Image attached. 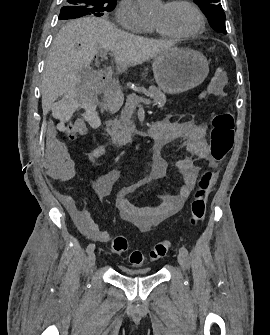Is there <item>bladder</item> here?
<instances>
[{
	"instance_id": "31cf9c89",
	"label": "bladder",
	"mask_w": 270,
	"mask_h": 335,
	"mask_svg": "<svg viewBox=\"0 0 270 335\" xmlns=\"http://www.w3.org/2000/svg\"><path fill=\"white\" fill-rule=\"evenodd\" d=\"M153 270L152 269H147V270H143V271H127V274H133V275H143V276H147L152 274Z\"/></svg>"
}]
</instances>
